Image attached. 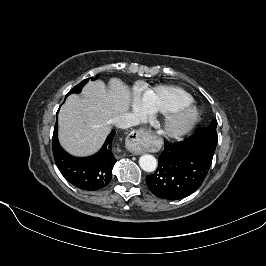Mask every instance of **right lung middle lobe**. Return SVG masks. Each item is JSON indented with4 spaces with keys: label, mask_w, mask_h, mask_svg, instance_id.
<instances>
[{
    "label": "right lung middle lobe",
    "mask_w": 266,
    "mask_h": 266,
    "mask_svg": "<svg viewBox=\"0 0 266 266\" xmlns=\"http://www.w3.org/2000/svg\"><path fill=\"white\" fill-rule=\"evenodd\" d=\"M88 79L83 80L81 83H79L77 86H75L73 89H71L66 97L71 93H79L81 92L83 86L87 83Z\"/></svg>",
    "instance_id": "obj_1"
}]
</instances>
